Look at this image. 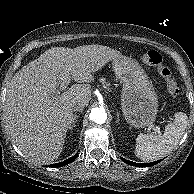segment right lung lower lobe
Instances as JSON below:
<instances>
[{
    "label": "right lung lower lobe",
    "instance_id": "98d812e1",
    "mask_svg": "<svg viewBox=\"0 0 194 194\" xmlns=\"http://www.w3.org/2000/svg\"><path fill=\"white\" fill-rule=\"evenodd\" d=\"M77 155H78V153H77L75 156H73V157H71V158H69V159H67V160H65V161H63V162L56 163V164H52V165H50L49 167H54V168H55V167H63V166H65V165H67V164L73 162V161L76 159Z\"/></svg>",
    "mask_w": 194,
    "mask_h": 194
}]
</instances>
